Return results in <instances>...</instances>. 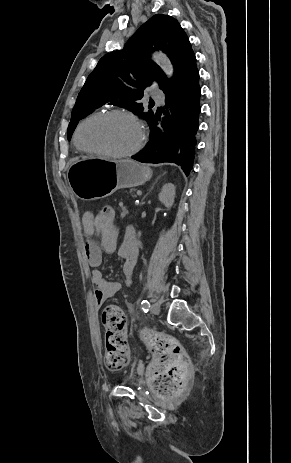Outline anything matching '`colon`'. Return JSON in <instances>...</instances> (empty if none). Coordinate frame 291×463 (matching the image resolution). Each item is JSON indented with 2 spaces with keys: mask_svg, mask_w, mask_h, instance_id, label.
Listing matches in <instances>:
<instances>
[{
  "mask_svg": "<svg viewBox=\"0 0 291 463\" xmlns=\"http://www.w3.org/2000/svg\"><path fill=\"white\" fill-rule=\"evenodd\" d=\"M116 221L118 208L104 204L96 210L99 231H106L107 226H114ZM102 324L105 329V365L109 370H120L129 361L124 313L116 306H109L103 311ZM143 336L156 356L151 373L157 392L168 394L183 386L190 376V369L179 341L153 332H145Z\"/></svg>",
  "mask_w": 291,
  "mask_h": 463,
  "instance_id": "colon-1",
  "label": "colon"
}]
</instances>
